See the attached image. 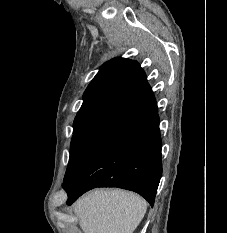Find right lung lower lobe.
<instances>
[{
    "label": "right lung lower lobe",
    "mask_w": 227,
    "mask_h": 233,
    "mask_svg": "<svg viewBox=\"0 0 227 233\" xmlns=\"http://www.w3.org/2000/svg\"><path fill=\"white\" fill-rule=\"evenodd\" d=\"M158 114L118 135L90 164L68 193L67 204L95 187H119L143 196L151 206L162 175Z\"/></svg>",
    "instance_id": "obj_1"
}]
</instances>
